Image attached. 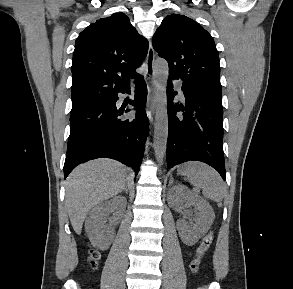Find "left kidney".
<instances>
[{"instance_id": "5707ae66", "label": "left kidney", "mask_w": 293, "mask_h": 289, "mask_svg": "<svg viewBox=\"0 0 293 289\" xmlns=\"http://www.w3.org/2000/svg\"><path fill=\"white\" fill-rule=\"evenodd\" d=\"M171 194L173 196L169 202L171 206L181 208L185 204L195 208V224L192 227H189L184 220L177 222V229L183 243L194 245L210 229L215 218L214 211L206 200L183 185L174 186Z\"/></svg>"}]
</instances>
